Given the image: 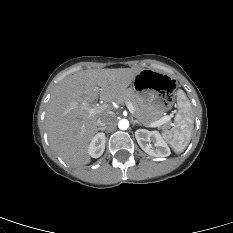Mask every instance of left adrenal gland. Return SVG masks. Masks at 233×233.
I'll return each instance as SVG.
<instances>
[{
	"mask_svg": "<svg viewBox=\"0 0 233 233\" xmlns=\"http://www.w3.org/2000/svg\"><path fill=\"white\" fill-rule=\"evenodd\" d=\"M133 124L142 125L138 120H132Z\"/></svg>",
	"mask_w": 233,
	"mask_h": 233,
	"instance_id": "1",
	"label": "left adrenal gland"
}]
</instances>
